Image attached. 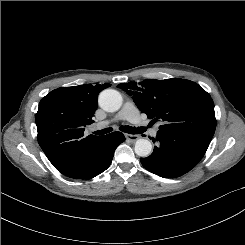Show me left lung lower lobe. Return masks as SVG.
Segmentation results:
<instances>
[{
    "label": "left lung lower lobe",
    "mask_w": 245,
    "mask_h": 245,
    "mask_svg": "<svg viewBox=\"0 0 245 245\" xmlns=\"http://www.w3.org/2000/svg\"><path fill=\"white\" fill-rule=\"evenodd\" d=\"M158 146L153 154L140 158L142 165L150 172L165 178H175L193 169L204 156L210 139L188 132L159 130Z\"/></svg>",
    "instance_id": "1"
}]
</instances>
